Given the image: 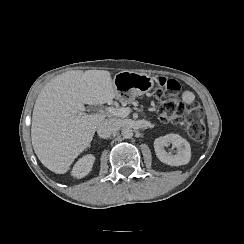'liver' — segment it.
<instances>
[{"instance_id": "6515ba94", "label": "liver", "mask_w": 244, "mask_h": 244, "mask_svg": "<svg viewBox=\"0 0 244 244\" xmlns=\"http://www.w3.org/2000/svg\"><path fill=\"white\" fill-rule=\"evenodd\" d=\"M116 98L112 73L106 70H72L48 82L36 98L31 124L33 150L40 162L56 174L67 173L86 150L106 116L74 117L84 104L102 105Z\"/></svg>"}]
</instances>
